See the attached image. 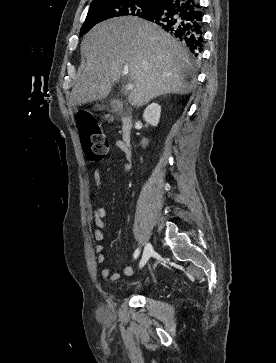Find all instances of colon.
Returning a JSON list of instances; mask_svg holds the SVG:
<instances>
[{
  "instance_id": "1",
  "label": "colon",
  "mask_w": 276,
  "mask_h": 363,
  "mask_svg": "<svg viewBox=\"0 0 276 363\" xmlns=\"http://www.w3.org/2000/svg\"><path fill=\"white\" fill-rule=\"evenodd\" d=\"M80 135L84 153L91 161L102 159L109 148L108 139L94 116L83 112L78 116Z\"/></svg>"
}]
</instances>
